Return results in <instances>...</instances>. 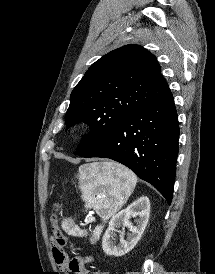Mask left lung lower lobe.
<instances>
[{
    "mask_svg": "<svg viewBox=\"0 0 215 274\" xmlns=\"http://www.w3.org/2000/svg\"><path fill=\"white\" fill-rule=\"evenodd\" d=\"M179 124L169 87L125 117L82 155L115 160L152 184L170 204L176 173Z\"/></svg>",
    "mask_w": 215,
    "mask_h": 274,
    "instance_id": "0a47b994",
    "label": "left lung lower lobe"
}]
</instances>
